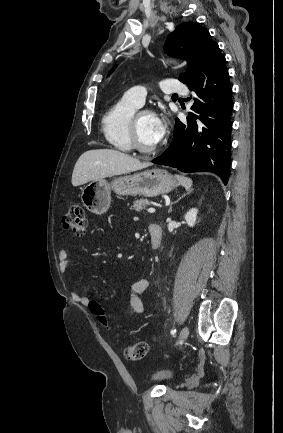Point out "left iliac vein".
Segmentation results:
<instances>
[{"instance_id": "4c4485c4", "label": "left iliac vein", "mask_w": 283, "mask_h": 433, "mask_svg": "<svg viewBox=\"0 0 283 433\" xmlns=\"http://www.w3.org/2000/svg\"><path fill=\"white\" fill-rule=\"evenodd\" d=\"M188 335H189V328L187 326H185L181 330V332L178 336V344H182L187 339Z\"/></svg>"}]
</instances>
